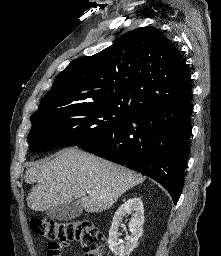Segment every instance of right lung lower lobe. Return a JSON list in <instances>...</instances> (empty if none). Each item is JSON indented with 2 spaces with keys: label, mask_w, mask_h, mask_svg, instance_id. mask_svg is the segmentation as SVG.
Wrapping results in <instances>:
<instances>
[{
  "label": "right lung lower lobe",
  "mask_w": 221,
  "mask_h": 256,
  "mask_svg": "<svg viewBox=\"0 0 221 256\" xmlns=\"http://www.w3.org/2000/svg\"><path fill=\"white\" fill-rule=\"evenodd\" d=\"M191 100L149 107L78 147L154 179L176 204L189 154Z\"/></svg>",
  "instance_id": "obj_1"
}]
</instances>
